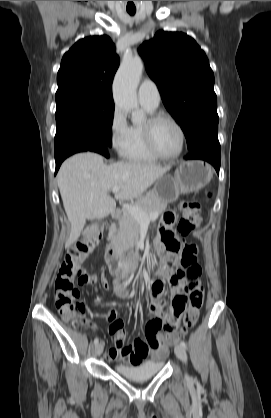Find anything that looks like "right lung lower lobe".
<instances>
[{
	"mask_svg": "<svg viewBox=\"0 0 271 418\" xmlns=\"http://www.w3.org/2000/svg\"><path fill=\"white\" fill-rule=\"evenodd\" d=\"M108 144L103 139H92L88 141L78 142L74 144L65 145L55 150V161H56V171L57 173L61 163L64 159L69 157L72 154L83 152V151H93L108 157L107 152Z\"/></svg>",
	"mask_w": 271,
	"mask_h": 418,
	"instance_id": "right-lung-lower-lobe-1",
	"label": "right lung lower lobe"
}]
</instances>
